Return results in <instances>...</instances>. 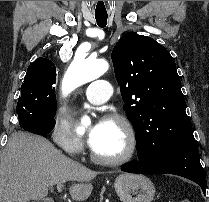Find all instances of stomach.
Masks as SVG:
<instances>
[{
	"instance_id": "stomach-1",
	"label": "stomach",
	"mask_w": 209,
	"mask_h": 202,
	"mask_svg": "<svg viewBox=\"0 0 209 202\" xmlns=\"http://www.w3.org/2000/svg\"><path fill=\"white\" fill-rule=\"evenodd\" d=\"M117 195L122 202H152L155 187L144 175L124 173L114 182Z\"/></svg>"
}]
</instances>
